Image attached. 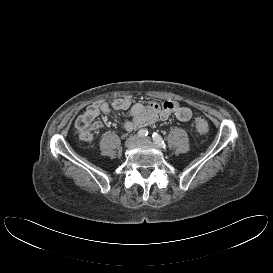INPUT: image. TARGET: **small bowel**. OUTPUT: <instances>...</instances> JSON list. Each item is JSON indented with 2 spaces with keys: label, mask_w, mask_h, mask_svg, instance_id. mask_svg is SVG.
<instances>
[{
  "label": "small bowel",
  "mask_w": 273,
  "mask_h": 273,
  "mask_svg": "<svg viewBox=\"0 0 273 273\" xmlns=\"http://www.w3.org/2000/svg\"><path fill=\"white\" fill-rule=\"evenodd\" d=\"M112 110H129L131 118L123 122V127L127 131L152 125L158 120H165L170 116H175L183 122L190 120L192 116L188 107L175 101L150 102L146 105L133 103L129 97L113 101H97L88 106L75 121L74 127L80 140L91 142L94 138V131L102 126V123L96 118L100 114H108Z\"/></svg>",
  "instance_id": "obj_1"
}]
</instances>
